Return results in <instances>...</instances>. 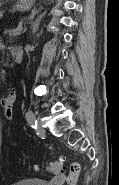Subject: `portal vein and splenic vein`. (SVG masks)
Here are the masks:
<instances>
[{"label": "portal vein and splenic vein", "mask_w": 119, "mask_h": 185, "mask_svg": "<svg viewBox=\"0 0 119 185\" xmlns=\"http://www.w3.org/2000/svg\"><path fill=\"white\" fill-rule=\"evenodd\" d=\"M34 17V15H32L30 18H33ZM20 27V26H19Z\"/></svg>", "instance_id": "obj_1"}]
</instances>
